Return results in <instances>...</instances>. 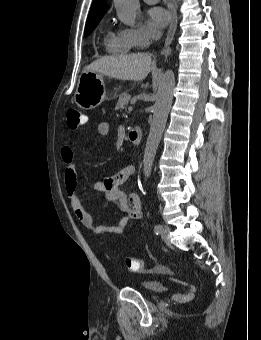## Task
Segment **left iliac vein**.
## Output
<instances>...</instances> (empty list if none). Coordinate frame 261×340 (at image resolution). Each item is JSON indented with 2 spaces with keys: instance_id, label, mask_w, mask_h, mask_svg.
Masks as SVG:
<instances>
[{
  "instance_id": "4c4485c4",
  "label": "left iliac vein",
  "mask_w": 261,
  "mask_h": 340,
  "mask_svg": "<svg viewBox=\"0 0 261 340\" xmlns=\"http://www.w3.org/2000/svg\"><path fill=\"white\" fill-rule=\"evenodd\" d=\"M169 233H170V228L167 225L163 226L162 230L160 231V235L162 236V238H166Z\"/></svg>"
}]
</instances>
